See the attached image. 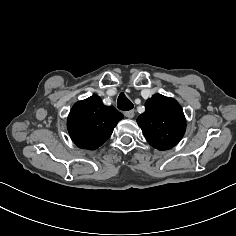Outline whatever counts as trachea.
I'll list each match as a JSON object with an SVG mask.
<instances>
[{
	"mask_svg": "<svg viewBox=\"0 0 236 236\" xmlns=\"http://www.w3.org/2000/svg\"><path fill=\"white\" fill-rule=\"evenodd\" d=\"M117 107L123 111L131 110L134 105L133 103L125 96L124 93H121L117 100Z\"/></svg>",
	"mask_w": 236,
	"mask_h": 236,
	"instance_id": "trachea-1",
	"label": "trachea"
}]
</instances>
